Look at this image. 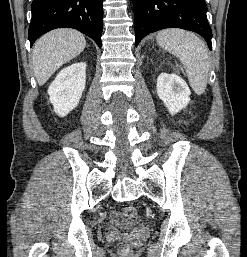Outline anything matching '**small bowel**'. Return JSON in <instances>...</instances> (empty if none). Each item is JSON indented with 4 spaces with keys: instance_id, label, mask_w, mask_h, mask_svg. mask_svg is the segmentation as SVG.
Instances as JSON below:
<instances>
[{
    "instance_id": "1",
    "label": "small bowel",
    "mask_w": 247,
    "mask_h": 257,
    "mask_svg": "<svg viewBox=\"0 0 247 257\" xmlns=\"http://www.w3.org/2000/svg\"><path fill=\"white\" fill-rule=\"evenodd\" d=\"M111 219L117 225H124L125 224L124 220L122 219V217L117 212L112 213Z\"/></svg>"
}]
</instances>
